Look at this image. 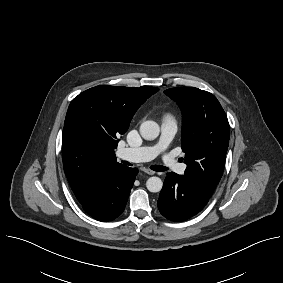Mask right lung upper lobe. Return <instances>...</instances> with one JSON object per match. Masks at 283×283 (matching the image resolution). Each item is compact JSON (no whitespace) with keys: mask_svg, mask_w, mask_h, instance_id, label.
<instances>
[{"mask_svg":"<svg viewBox=\"0 0 283 283\" xmlns=\"http://www.w3.org/2000/svg\"><path fill=\"white\" fill-rule=\"evenodd\" d=\"M158 90L149 86L135 88L100 85L77 96L93 108L113 112L116 116L113 127L105 130L107 140L90 141L71 126L66 115L62 136L63 164L68 182L78 200L86 196L94 177L103 168L118 164L114 152L119 141L117 138L127 131L141 104Z\"/></svg>","mask_w":283,"mask_h":283,"instance_id":"obj_1","label":"right lung upper lobe"}]
</instances>
